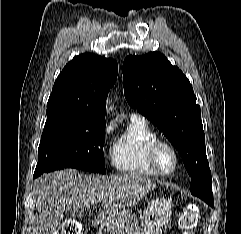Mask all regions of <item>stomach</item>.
<instances>
[{"label": "stomach", "instance_id": "obj_1", "mask_svg": "<svg viewBox=\"0 0 241 234\" xmlns=\"http://www.w3.org/2000/svg\"><path fill=\"white\" fill-rule=\"evenodd\" d=\"M171 214L170 202L157 198L152 200L144 210L140 224L136 216L128 210H122L116 214H105L101 223L109 221L120 234H161L170 221Z\"/></svg>", "mask_w": 241, "mask_h": 234}]
</instances>
